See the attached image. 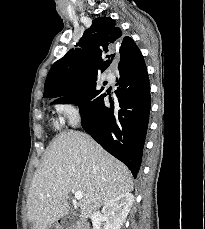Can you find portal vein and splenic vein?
I'll return each mask as SVG.
<instances>
[{
    "label": "portal vein and splenic vein",
    "instance_id": "portal-vein-and-splenic-vein-1",
    "mask_svg": "<svg viewBox=\"0 0 205 229\" xmlns=\"http://www.w3.org/2000/svg\"><path fill=\"white\" fill-rule=\"evenodd\" d=\"M74 197L76 200H81L83 198V194L81 191L74 192Z\"/></svg>",
    "mask_w": 205,
    "mask_h": 229
}]
</instances>
